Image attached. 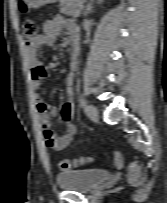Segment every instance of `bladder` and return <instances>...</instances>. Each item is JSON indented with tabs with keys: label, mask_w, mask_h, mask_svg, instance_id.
<instances>
[{
	"label": "bladder",
	"mask_w": 167,
	"mask_h": 203,
	"mask_svg": "<svg viewBox=\"0 0 167 203\" xmlns=\"http://www.w3.org/2000/svg\"><path fill=\"white\" fill-rule=\"evenodd\" d=\"M111 173L101 169L66 170L56 176L61 189L72 192H89L108 181Z\"/></svg>",
	"instance_id": "obj_1"
}]
</instances>
